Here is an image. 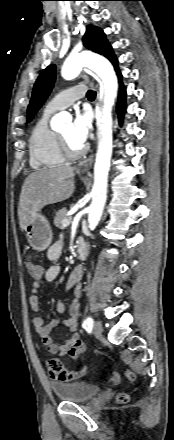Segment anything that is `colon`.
Wrapping results in <instances>:
<instances>
[{"label":"colon","mask_w":174,"mask_h":440,"mask_svg":"<svg viewBox=\"0 0 174 440\" xmlns=\"http://www.w3.org/2000/svg\"><path fill=\"white\" fill-rule=\"evenodd\" d=\"M27 270L31 278L34 280H40L43 275L42 266L33 260L28 259L27 261ZM127 377L130 380H133L134 375L131 372L127 373ZM110 382L113 384H117L119 382V376L116 372H113L110 376ZM117 400L120 404H125L129 402V396L126 393H120L117 397Z\"/></svg>","instance_id":"1"}]
</instances>
